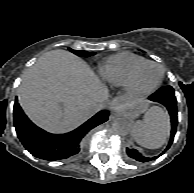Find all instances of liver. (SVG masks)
<instances>
[{"instance_id":"1","label":"liver","mask_w":194,"mask_h":193,"mask_svg":"<svg viewBox=\"0 0 194 193\" xmlns=\"http://www.w3.org/2000/svg\"><path fill=\"white\" fill-rule=\"evenodd\" d=\"M108 97L107 88L92 69L65 50L40 57L25 71L18 88V102L28 117L55 134L80 126L95 113L90 104L104 103Z\"/></svg>"}]
</instances>
